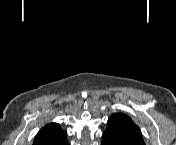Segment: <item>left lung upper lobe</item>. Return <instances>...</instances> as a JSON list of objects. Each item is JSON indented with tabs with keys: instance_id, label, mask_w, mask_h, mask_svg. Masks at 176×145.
Listing matches in <instances>:
<instances>
[{
	"instance_id": "obj_1",
	"label": "left lung upper lobe",
	"mask_w": 176,
	"mask_h": 145,
	"mask_svg": "<svg viewBox=\"0 0 176 145\" xmlns=\"http://www.w3.org/2000/svg\"><path fill=\"white\" fill-rule=\"evenodd\" d=\"M103 135L118 145H145L139 127L130 117L122 113L112 114Z\"/></svg>"
}]
</instances>
